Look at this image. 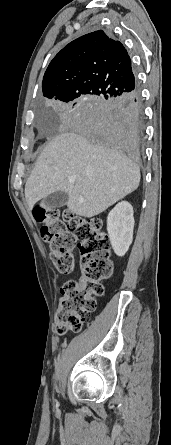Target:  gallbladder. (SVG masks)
Instances as JSON below:
<instances>
[{
  "label": "gallbladder",
  "mask_w": 171,
  "mask_h": 445,
  "mask_svg": "<svg viewBox=\"0 0 171 445\" xmlns=\"http://www.w3.org/2000/svg\"><path fill=\"white\" fill-rule=\"evenodd\" d=\"M67 201H68V195L66 192L56 191L45 197L41 203L44 208L50 210L53 208L64 206L67 203Z\"/></svg>",
  "instance_id": "obj_1"
}]
</instances>
